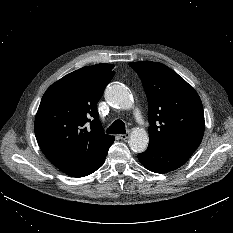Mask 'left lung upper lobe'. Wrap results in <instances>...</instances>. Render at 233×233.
Masks as SVG:
<instances>
[{"label": "left lung upper lobe", "mask_w": 233, "mask_h": 233, "mask_svg": "<svg viewBox=\"0 0 233 233\" xmlns=\"http://www.w3.org/2000/svg\"><path fill=\"white\" fill-rule=\"evenodd\" d=\"M139 75L148 100L149 145L194 152L204 134L199 95L181 76L162 63H129Z\"/></svg>", "instance_id": "5c2ea615"}]
</instances>
